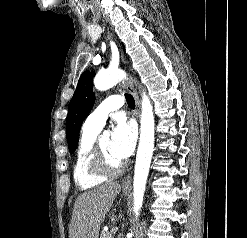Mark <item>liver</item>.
Here are the masks:
<instances>
[{
    "mask_svg": "<svg viewBox=\"0 0 247 238\" xmlns=\"http://www.w3.org/2000/svg\"><path fill=\"white\" fill-rule=\"evenodd\" d=\"M120 190V184L113 182L79 195L74 204L69 238H98L100 227Z\"/></svg>",
    "mask_w": 247,
    "mask_h": 238,
    "instance_id": "1",
    "label": "liver"
}]
</instances>
